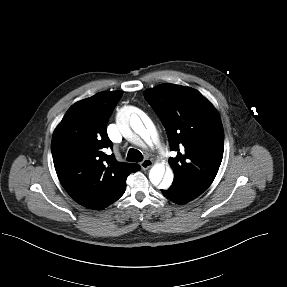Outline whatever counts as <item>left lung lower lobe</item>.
<instances>
[{"mask_svg": "<svg viewBox=\"0 0 287 287\" xmlns=\"http://www.w3.org/2000/svg\"><path fill=\"white\" fill-rule=\"evenodd\" d=\"M162 193L166 198L177 204H185L199 196V194L174 181L171 187L167 190H162Z\"/></svg>", "mask_w": 287, "mask_h": 287, "instance_id": "0a47b994", "label": "left lung lower lobe"}]
</instances>
